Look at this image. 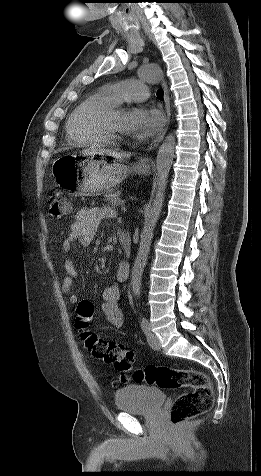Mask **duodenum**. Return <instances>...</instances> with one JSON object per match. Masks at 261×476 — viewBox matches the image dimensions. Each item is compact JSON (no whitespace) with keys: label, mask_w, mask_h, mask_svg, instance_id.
Wrapping results in <instances>:
<instances>
[{"label":"duodenum","mask_w":261,"mask_h":476,"mask_svg":"<svg viewBox=\"0 0 261 476\" xmlns=\"http://www.w3.org/2000/svg\"><path fill=\"white\" fill-rule=\"evenodd\" d=\"M118 241L122 247V250L124 253L129 256L131 253V239L130 236L125 232V231H119L118 234ZM124 269L126 271H129V265L128 263L124 262Z\"/></svg>","instance_id":"1"}]
</instances>
